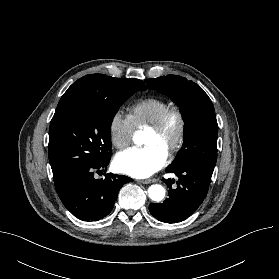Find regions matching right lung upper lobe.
Here are the masks:
<instances>
[{
  "instance_id": "obj_1",
  "label": "right lung upper lobe",
  "mask_w": 279,
  "mask_h": 279,
  "mask_svg": "<svg viewBox=\"0 0 279 279\" xmlns=\"http://www.w3.org/2000/svg\"><path fill=\"white\" fill-rule=\"evenodd\" d=\"M86 82H87V75L84 76V77H82V78H80V79H78L75 83H73V84L69 87L68 90H71V89L80 87V86L84 85ZM139 82H140V85L142 86V88H143L144 90H146L145 84H144L141 80H139ZM68 90H67V91H68Z\"/></svg>"
}]
</instances>
